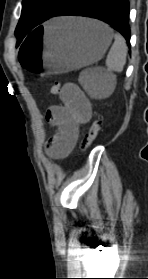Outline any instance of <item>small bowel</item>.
<instances>
[{"label": "small bowel", "mask_w": 148, "mask_h": 279, "mask_svg": "<svg viewBox=\"0 0 148 279\" xmlns=\"http://www.w3.org/2000/svg\"><path fill=\"white\" fill-rule=\"evenodd\" d=\"M62 105H54L46 112L47 121L57 127L46 144V153L53 159L67 157L75 148L79 127L92 116V107L85 94L75 84H66L60 93Z\"/></svg>", "instance_id": "1"}]
</instances>
